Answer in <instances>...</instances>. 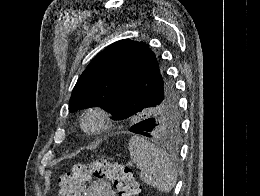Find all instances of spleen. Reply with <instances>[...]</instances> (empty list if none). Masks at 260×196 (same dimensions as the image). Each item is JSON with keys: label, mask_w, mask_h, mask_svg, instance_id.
<instances>
[{"label": "spleen", "mask_w": 260, "mask_h": 196, "mask_svg": "<svg viewBox=\"0 0 260 196\" xmlns=\"http://www.w3.org/2000/svg\"><path fill=\"white\" fill-rule=\"evenodd\" d=\"M130 158L140 172V178L161 192H171L177 182L176 168L163 150L141 136H131L128 144Z\"/></svg>", "instance_id": "spleen-1"}]
</instances>
